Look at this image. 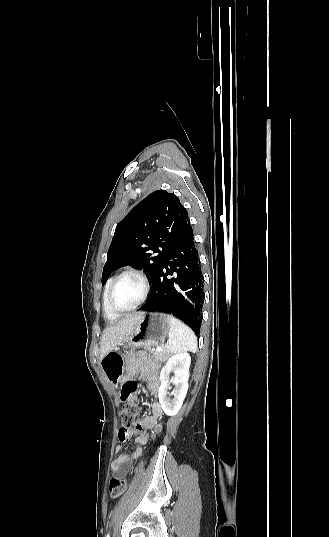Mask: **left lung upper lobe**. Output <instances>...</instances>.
Segmentation results:
<instances>
[{
  "mask_svg": "<svg viewBox=\"0 0 329 537\" xmlns=\"http://www.w3.org/2000/svg\"><path fill=\"white\" fill-rule=\"evenodd\" d=\"M189 228L188 212L176 195L165 190L151 193L117 224L102 283L125 264L143 268L152 280L165 256Z\"/></svg>",
  "mask_w": 329,
  "mask_h": 537,
  "instance_id": "left-lung-upper-lobe-1",
  "label": "left lung upper lobe"
}]
</instances>
